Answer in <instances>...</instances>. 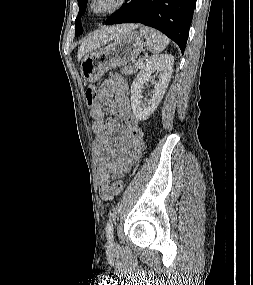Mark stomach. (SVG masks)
I'll return each instance as SVG.
<instances>
[{
	"label": "stomach",
	"instance_id": "1",
	"mask_svg": "<svg viewBox=\"0 0 253 285\" xmlns=\"http://www.w3.org/2000/svg\"><path fill=\"white\" fill-rule=\"evenodd\" d=\"M145 47L138 32H129L116 37L109 45L84 56L80 70L85 82H95L104 73L134 61Z\"/></svg>",
	"mask_w": 253,
	"mask_h": 285
}]
</instances>
